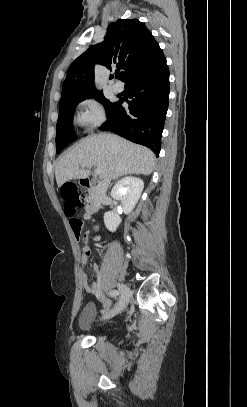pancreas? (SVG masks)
<instances>
[{"label":"pancreas","instance_id":"cf45deb5","mask_svg":"<svg viewBox=\"0 0 247 407\" xmlns=\"http://www.w3.org/2000/svg\"><path fill=\"white\" fill-rule=\"evenodd\" d=\"M93 197H94L93 193H90V195H89V200L92 201V200H93Z\"/></svg>","mask_w":247,"mask_h":407}]
</instances>
